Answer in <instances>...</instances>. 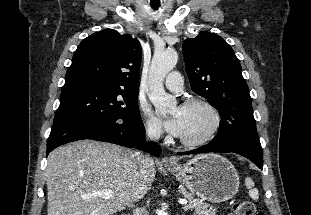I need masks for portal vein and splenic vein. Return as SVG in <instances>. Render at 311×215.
<instances>
[{
	"instance_id": "18ae733b",
	"label": "portal vein and splenic vein",
	"mask_w": 311,
	"mask_h": 215,
	"mask_svg": "<svg viewBox=\"0 0 311 215\" xmlns=\"http://www.w3.org/2000/svg\"><path fill=\"white\" fill-rule=\"evenodd\" d=\"M93 196H99L103 199H110L113 196V192L111 190H105L101 192L92 193ZM182 205H187L188 201L186 199H179L178 201Z\"/></svg>"
}]
</instances>
